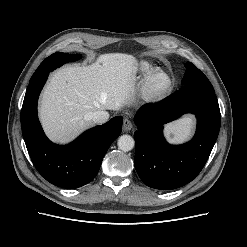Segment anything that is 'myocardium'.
<instances>
[{"mask_svg": "<svg viewBox=\"0 0 247 247\" xmlns=\"http://www.w3.org/2000/svg\"><path fill=\"white\" fill-rule=\"evenodd\" d=\"M156 76H163L168 81V86L161 92L152 90L151 83ZM174 82L172 77L164 70L155 69L151 71L142 81L141 94L144 99L151 102H156L166 98L173 90Z\"/></svg>", "mask_w": 247, "mask_h": 247, "instance_id": "1", "label": "myocardium"}]
</instances>
